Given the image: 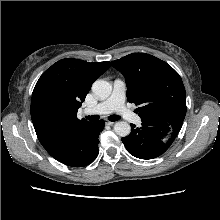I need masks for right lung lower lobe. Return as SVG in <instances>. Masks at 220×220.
I'll return each instance as SVG.
<instances>
[{"label":"right lung lower lobe","mask_w":220,"mask_h":220,"mask_svg":"<svg viewBox=\"0 0 220 220\" xmlns=\"http://www.w3.org/2000/svg\"><path fill=\"white\" fill-rule=\"evenodd\" d=\"M104 121L89 123L75 133L73 138L56 154L57 161L72 167H83L93 162L98 153V137Z\"/></svg>","instance_id":"98d812e1"}]
</instances>
